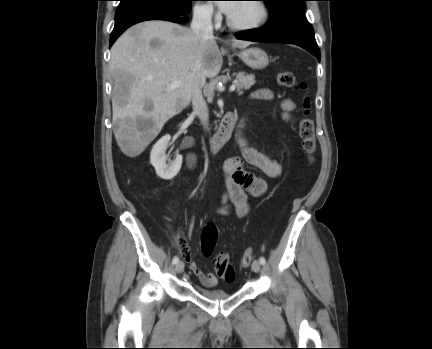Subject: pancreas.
Returning <instances> with one entry per match:
<instances>
[{
    "mask_svg": "<svg viewBox=\"0 0 432 349\" xmlns=\"http://www.w3.org/2000/svg\"><path fill=\"white\" fill-rule=\"evenodd\" d=\"M235 85L237 92L242 93L243 89L247 90L255 84V76L253 74H245L243 72L235 74Z\"/></svg>",
    "mask_w": 432,
    "mask_h": 349,
    "instance_id": "pancreas-1",
    "label": "pancreas"
}]
</instances>
